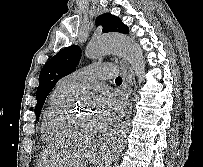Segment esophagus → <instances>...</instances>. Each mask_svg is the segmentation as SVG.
Masks as SVG:
<instances>
[{
  "label": "esophagus",
  "mask_w": 203,
  "mask_h": 167,
  "mask_svg": "<svg viewBox=\"0 0 203 167\" xmlns=\"http://www.w3.org/2000/svg\"><path fill=\"white\" fill-rule=\"evenodd\" d=\"M120 67H121V72H122V78H123V84H122V92L124 95V99H125V103H124V107L123 110L121 112V114L119 115L118 121L120 120V118L123 117L127 106L129 104V97H130V90H129V83L132 79V76L130 75V73L127 70V64L125 61H120ZM105 137H103L97 144L98 148H102L103 147V142H104Z\"/></svg>",
  "instance_id": "esophagus-1"
}]
</instances>
